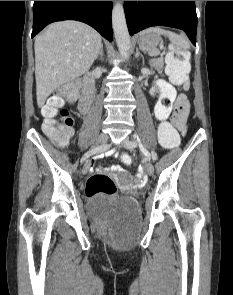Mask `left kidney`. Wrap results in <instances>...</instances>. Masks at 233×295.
<instances>
[{"label": "left kidney", "instance_id": "obj_1", "mask_svg": "<svg viewBox=\"0 0 233 295\" xmlns=\"http://www.w3.org/2000/svg\"><path fill=\"white\" fill-rule=\"evenodd\" d=\"M155 93H156V88L154 87L150 90V95L154 96Z\"/></svg>", "mask_w": 233, "mask_h": 295}]
</instances>
